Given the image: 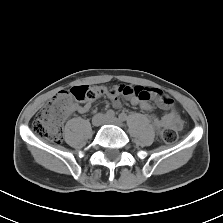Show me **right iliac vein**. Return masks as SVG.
Returning <instances> with one entry per match:
<instances>
[{"label": "right iliac vein", "instance_id": "63e3f726", "mask_svg": "<svg viewBox=\"0 0 223 223\" xmlns=\"http://www.w3.org/2000/svg\"><path fill=\"white\" fill-rule=\"evenodd\" d=\"M105 120V115L103 114H97L92 119V124L94 126H100Z\"/></svg>", "mask_w": 223, "mask_h": 223}]
</instances>
